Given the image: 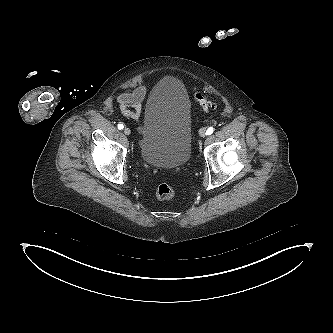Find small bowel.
I'll list each match as a JSON object with an SVG mask.
<instances>
[{"mask_svg": "<svg viewBox=\"0 0 333 333\" xmlns=\"http://www.w3.org/2000/svg\"><path fill=\"white\" fill-rule=\"evenodd\" d=\"M144 96L145 88L143 86L120 94L117 102L120 105L122 114L134 120L138 119L141 114V104Z\"/></svg>", "mask_w": 333, "mask_h": 333, "instance_id": "c3829d8e", "label": "small bowel"}]
</instances>
